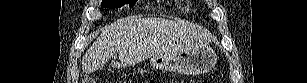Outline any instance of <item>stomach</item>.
<instances>
[{"instance_id": "1", "label": "stomach", "mask_w": 307, "mask_h": 83, "mask_svg": "<svg viewBox=\"0 0 307 83\" xmlns=\"http://www.w3.org/2000/svg\"><path fill=\"white\" fill-rule=\"evenodd\" d=\"M216 63V52L208 45L194 46L173 56H153L150 58V65L154 69L184 75L208 73Z\"/></svg>"}]
</instances>
